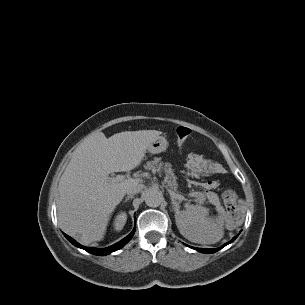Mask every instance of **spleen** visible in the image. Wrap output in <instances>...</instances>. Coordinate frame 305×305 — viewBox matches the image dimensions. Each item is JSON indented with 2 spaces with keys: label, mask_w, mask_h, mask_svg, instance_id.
<instances>
[{
  "label": "spleen",
  "mask_w": 305,
  "mask_h": 305,
  "mask_svg": "<svg viewBox=\"0 0 305 305\" xmlns=\"http://www.w3.org/2000/svg\"><path fill=\"white\" fill-rule=\"evenodd\" d=\"M175 220L179 232L194 243L214 244L224 234L223 215L208 217V210L200 205H187L185 210L176 211Z\"/></svg>",
  "instance_id": "1"
}]
</instances>
